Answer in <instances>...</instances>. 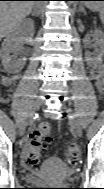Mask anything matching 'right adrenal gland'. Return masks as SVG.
Returning a JSON list of instances; mask_svg holds the SVG:
<instances>
[{
  "label": "right adrenal gland",
  "mask_w": 104,
  "mask_h": 189,
  "mask_svg": "<svg viewBox=\"0 0 104 189\" xmlns=\"http://www.w3.org/2000/svg\"><path fill=\"white\" fill-rule=\"evenodd\" d=\"M31 15L33 17H38L39 16V12H37V11L31 12Z\"/></svg>",
  "instance_id": "1"
}]
</instances>
